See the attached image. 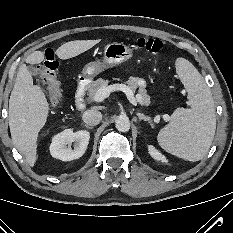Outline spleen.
Masks as SVG:
<instances>
[{
	"label": "spleen",
	"instance_id": "spleen-1",
	"mask_svg": "<svg viewBox=\"0 0 233 233\" xmlns=\"http://www.w3.org/2000/svg\"><path fill=\"white\" fill-rule=\"evenodd\" d=\"M191 108H178L163 127L157 141L166 152L187 161H199L208 152L216 130L215 105L211 91L198 70L184 58L176 61Z\"/></svg>",
	"mask_w": 233,
	"mask_h": 233
}]
</instances>
